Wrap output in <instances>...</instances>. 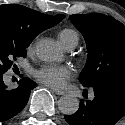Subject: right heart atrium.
<instances>
[{
	"label": "right heart atrium",
	"instance_id": "obj_1",
	"mask_svg": "<svg viewBox=\"0 0 125 125\" xmlns=\"http://www.w3.org/2000/svg\"><path fill=\"white\" fill-rule=\"evenodd\" d=\"M33 47H34V44L31 43V44L28 46V51H32V50H33Z\"/></svg>",
	"mask_w": 125,
	"mask_h": 125
}]
</instances>
